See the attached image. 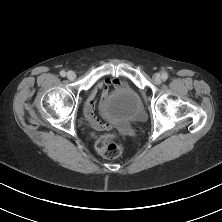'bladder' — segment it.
Here are the masks:
<instances>
[{"label": "bladder", "mask_w": 222, "mask_h": 222, "mask_svg": "<svg viewBox=\"0 0 222 222\" xmlns=\"http://www.w3.org/2000/svg\"><path fill=\"white\" fill-rule=\"evenodd\" d=\"M107 118L136 124L145 121V110L139 94L130 87L112 92L102 110Z\"/></svg>", "instance_id": "31cf9c89"}]
</instances>
